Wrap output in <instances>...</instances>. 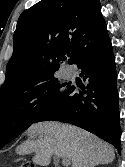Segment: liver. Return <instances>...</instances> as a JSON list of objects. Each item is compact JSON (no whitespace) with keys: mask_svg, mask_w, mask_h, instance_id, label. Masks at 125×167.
I'll return each instance as SVG.
<instances>
[{"mask_svg":"<svg viewBox=\"0 0 125 167\" xmlns=\"http://www.w3.org/2000/svg\"><path fill=\"white\" fill-rule=\"evenodd\" d=\"M29 138L16 148V153H35L33 162L48 166L52 155L71 160V167H95L111 163L113 147L97 136L69 124L40 122L27 130ZM36 137V139H34Z\"/></svg>","mask_w":125,"mask_h":167,"instance_id":"1","label":"liver"}]
</instances>
